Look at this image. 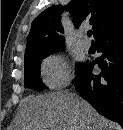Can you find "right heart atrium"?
I'll list each match as a JSON object with an SVG mask.
<instances>
[{"label": "right heart atrium", "instance_id": "obj_1", "mask_svg": "<svg viewBox=\"0 0 123 130\" xmlns=\"http://www.w3.org/2000/svg\"><path fill=\"white\" fill-rule=\"evenodd\" d=\"M42 75L50 87L60 88L68 83L70 69L63 56L51 55L42 63Z\"/></svg>", "mask_w": 123, "mask_h": 130}]
</instances>
